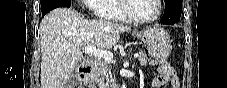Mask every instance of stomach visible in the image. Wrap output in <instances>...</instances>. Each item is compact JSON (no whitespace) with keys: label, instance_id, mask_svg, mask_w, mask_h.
Segmentation results:
<instances>
[{"label":"stomach","instance_id":"obj_1","mask_svg":"<svg viewBox=\"0 0 227 88\" xmlns=\"http://www.w3.org/2000/svg\"><path fill=\"white\" fill-rule=\"evenodd\" d=\"M133 35L143 41L148 48L149 55L160 61L165 60L171 53V41L169 34L161 27L154 26Z\"/></svg>","mask_w":227,"mask_h":88}]
</instances>
